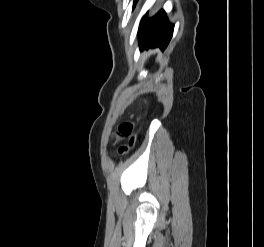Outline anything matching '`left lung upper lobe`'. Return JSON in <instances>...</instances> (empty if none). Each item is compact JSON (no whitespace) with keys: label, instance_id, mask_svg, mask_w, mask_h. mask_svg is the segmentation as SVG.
I'll return each mask as SVG.
<instances>
[{"label":"left lung upper lobe","instance_id":"1","mask_svg":"<svg viewBox=\"0 0 264 247\" xmlns=\"http://www.w3.org/2000/svg\"><path fill=\"white\" fill-rule=\"evenodd\" d=\"M137 1L138 0H134L133 9L135 8V5H136Z\"/></svg>","mask_w":264,"mask_h":247}]
</instances>
